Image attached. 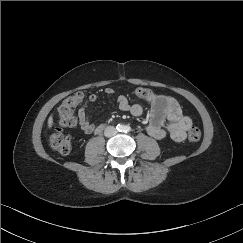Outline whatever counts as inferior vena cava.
<instances>
[{"instance_id": "1", "label": "inferior vena cava", "mask_w": 243, "mask_h": 243, "mask_svg": "<svg viewBox=\"0 0 243 243\" xmlns=\"http://www.w3.org/2000/svg\"><path fill=\"white\" fill-rule=\"evenodd\" d=\"M117 134V129L114 126H108L104 130V135L106 137H112Z\"/></svg>"}]
</instances>
